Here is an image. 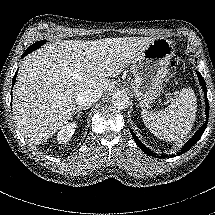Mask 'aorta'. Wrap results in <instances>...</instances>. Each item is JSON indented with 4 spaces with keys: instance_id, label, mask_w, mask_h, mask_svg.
<instances>
[{
    "instance_id": "aorta-1",
    "label": "aorta",
    "mask_w": 215,
    "mask_h": 215,
    "mask_svg": "<svg viewBox=\"0 0 215 215\" xmlns=\"http://www.w3.org/2000/svg\"><path fill=\"white\" fill-rule=\"evenodd\" d=\"M130 103L129 97L126 94L123 93H115L112 96V105L119 110H123L128 108Z\"/></svg>"
}]
</instances>
